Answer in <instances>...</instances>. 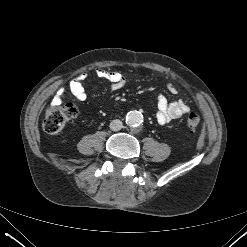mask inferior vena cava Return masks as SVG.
I'll list each match as a JSON object with an SVG mask.
<instances>
[{"label":"inferior vena cava","mask_w":247,"mask_h":247,"mask_svg":"<svg viewBox=\"0 0 247 247\" xmlns=\"http://www.w3.org/2000/svg\"><path fill=\"white\" fill-rule=\"evenodd\" d=\"M122 127V121H120L119 119L112 120L110 123V129L112 131H119Z\"/></svg>","instance_id":"obj_1"}]
</instances>
